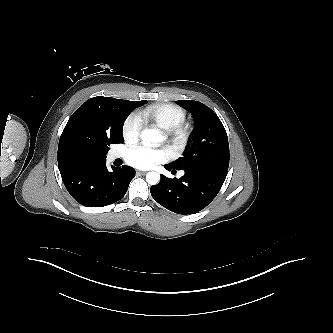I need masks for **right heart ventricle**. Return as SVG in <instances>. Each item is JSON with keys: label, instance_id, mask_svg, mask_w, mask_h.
Instances as JSON below:
<instances>
[{"label": "right heart ventricle", "instance_id": "right-heart-ventricle-1", "mask_svg": "<svg viewBox=\"0 0 333 333\" xmlns=\"http://www.w3.org/2000/svg\"><path fill=\"white\" fill-rule=\"evenodd\" d=\"M139 116L142 121L153 123L161 129L171 128L186 118V111L175 103H153L143 109Z\"/></svg>", "mask_w": 333, "mask_h": 333}]
</instances>
